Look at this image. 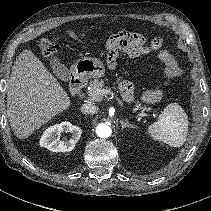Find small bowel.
I'll list each match as a JSON object with an SVG mask.
<instances>
[{"label": "small bowel", "instance_id": "1", "mask_svg": "<svg viewBox=\"0 0 211 211\" xmlns=\"http://www.w3.org/2000/svg\"><path fill=\"white\" fill-rule=\"evenodd\" d=\"M129 33H132V32H129ZM112 43H113V41L110 40L107 43L106 47L108 48V46L111 45ZM120 90H121L122 96H123L125 101L131 102L133 100V87H132V84L130 82L122 81L120 83Z\"/></svg>", "mask_w": 211, "mask_h": 211}]
</instances>
